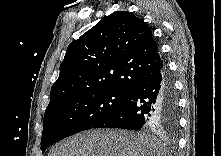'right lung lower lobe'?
<instances>
[{"label": "right lung lower lobe", "instance_id": "right-lung-lower-lobe-1", "mask_svg": "<svg viewBox=\"0 0 221 156\" xmlns=\"http://www.w3.org/2000/svg\"><path fill=\"white\" fill-rule=\"evenodd\" d=\"M177 126V93L172 77L164 66L136 83L128 92L126 102L93 128L140 130L163 127L176 131Z\"/></svg>", "mask_w": 221, "mask_h": 156}]
</instances>
